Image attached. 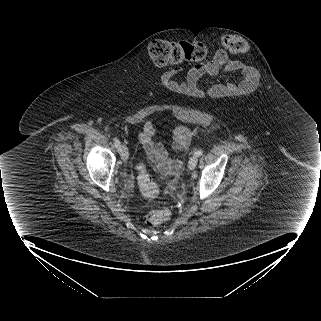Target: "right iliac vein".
<instances>
[{
    "instance_id": "right-iliac-vein-1",
    "label": "right iliac vein",
    "mask_w": 321,
    "mask_h": 321,
    "mask_svg": "<svg viewBox=\"0 0 321 321\" xmlns=\"http://www.w3.org/2000/svg\"><path fill=\"white\" fill-rule=\"evenodd\" d=\"M120 155H121L122 160L124 162H126L127 159H128L129 154H128V149H127L125 144H122L121 147H120Z\"/></svg>"
}]
</instances>
